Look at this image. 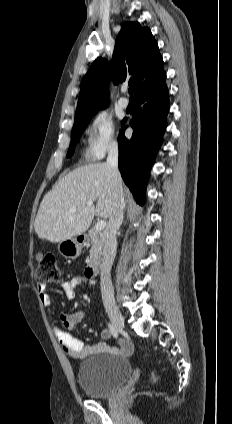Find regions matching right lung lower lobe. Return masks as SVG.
<instances>
[{"label":"right lung lower lobe","mask_w":232,"mask_h":424,"mask_svg":"<svg viewBox=\"0 0 232 424\" xmlns=\"http://www.w3.org/2000/svg\"><path fill=\"white\" fill-rule=\"evenodd\" d=\"M164 72L149 89L135 96L136 110L130 121L134 132L127 139L121 129L118 136L119 170L136 201L143 204L147 177L161 146L169 111V93Z\"/></svg>","instance_id":"obj_1"}]
</instances>
